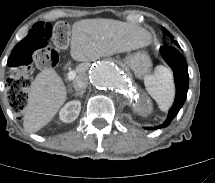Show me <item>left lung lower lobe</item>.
Masks as SVG:
<instances>
[{
    "label": "left lung lower lobe",
    "mask_w": 215,
    "mask_h": 183,
    "mask_svg": "<svg viewBox=\"0 0 215 183\" xmlns=\"http://www.w3.org/2000/svg\"><path fill=\"white\" fill-rule=\"evenodd\" d=\"M161 54L164 60L173 70L176 86V96L173 106L169 110L167 119L157 127H146V129L148 130L167 127L171 123L173 118L178 114L187 97L189 75L188 66L184 57L174 47L161 48Z\"/></svg>",
    "instance_id": "1"
}]
</instances>
